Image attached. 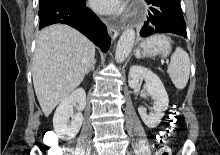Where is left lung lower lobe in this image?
Here are the masks:
<instances>
[{"instance_id": "left-lung-lower-lobe-1", "label": "left lung lower lobe", "mask_w": 220, "mask_h": 155, "mask_svg": "<svg viewBox=\"0 0 220 155\" xmlns=\"http://www.w3.org/2000/svg\"><path fill=\"white\" fill-rule=\"evenodd\" d=\"M150 5L147 22L141 29V36L158 33H174L187 36L180 0H146Z\"/></svg>"}]
</instances>
